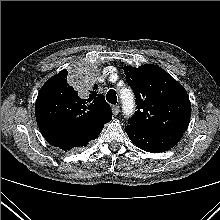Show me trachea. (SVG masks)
<instances>
[{
  "instance_id": "1",
  "label": "trachea",
  "mask_w": 220,
  "mask_h": 220,
  "mask_svg": "<svg viewBox=\"0 0 220 220\" xmlns=\"http://www.w3.org/2000/svg\"><path fill=\"white\" fill-rule=\"evenodd\" d=\"M106 99H107V101H108L110 104L115 105V104L117 103L116 92H115L113 89H110V90L107 92Z\"/></svg>"
}]
</instances>
